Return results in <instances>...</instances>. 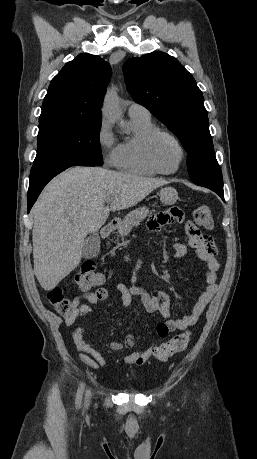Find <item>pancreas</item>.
Instances as JSON below:
<instances>
[{
  "mask_svg": "<svg viewBox=\"0 0 257 459\" xmlns=\"http://www.w3.org/2000/svg\"><path fill=\"white\" fill-rule=\"evenodd\" d=\"M149 214H151V212L145 206L136 208L135 210L129 212V214L124 217L118 228L119 236H127L131 232L132 228L134 226H138L140 222Z\"/></svg>",
  "mask_w": 257,
  "mask_h": 459,
  "instance_id": "cf45deb5",
  "label": "pancreas"
}]
</instances>
